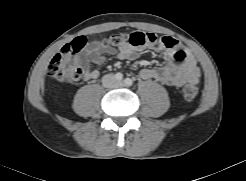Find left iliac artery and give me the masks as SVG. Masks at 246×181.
Instances as JSON below:
<instances>
[{"label": "left iliac artery", "mask_w": 246, "mask_h": 181, "mask_svg": "<svg viewBox=\"0 0 246 181\" xmlns=\"http://www.w3.org/2000/svg\"><path fill=\"white\" fill-rule=\"evenodd\" d=\"M124 83H125L126 86H131V85L133 84V81H132V79H130V78H126V79L124 80Z\"/></svg>", "instance_id": "left-iliac-artery-1"}]
</instances>
